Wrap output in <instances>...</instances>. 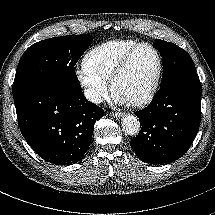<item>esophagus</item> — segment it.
<instances>
[{
    "label": "esophagus",
    "instance_id": "obj_1",
    "mask_svg": "<svg viewBox=\"0 0 215 215\" xmlns=\"http://www.w3.org/2000/svg\"><path fill=\"white\" fill-rule=\"evenodd\" d=\"M123 115L124 114L121 113V112H116V113L113 114V116L116 117V118H121Z\"/></svg>",
    "mask_w": 215,
    "mask_h": 215
}]
</instances>
